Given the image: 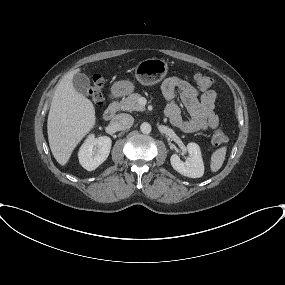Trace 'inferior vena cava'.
Returning <instances> with one entry per match:
<instances>
[{
    "mask_svg": "<svg viewBox=\"0 0 285 285\" xmlns=\"http://www.w3.org/2000/svg\"><path fill=\"white\" fill-rule=\"evenodd\" d=\"M111 123L117 130H125L133 125L134 118L130 114L120 113L114 117Z\"/></svg>",
    "mask_w": 285,
    "mask_h": 285,
    "instance_id": "1",
    "label": "inferior vena cava"
}]
</instances>
